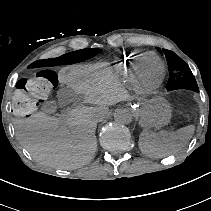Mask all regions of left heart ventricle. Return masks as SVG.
<instances>
[{"label":"left heart ventricle","instance_id":"b2bd125f","mask_svg":"<svg viewBox=\"0 0 211 211\" xmlns=\"http://www.w3.org/2000/svg\"><path fill=\"white\" fill-rule=\"evenodd\" d=\"M155 68H158V63L156 61H152Z\"/></svg>","mask_w":211,"mask_h":211}]
</instances>
